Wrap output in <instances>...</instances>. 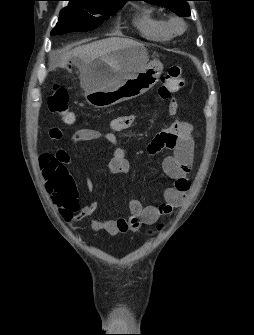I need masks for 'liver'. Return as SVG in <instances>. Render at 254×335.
<instances>
[{"mask_svg": "<svg viewBox=\"0 0 254 335\" xmlns=\"http://www.w3.org/2000/svg\"><path fill=\"white\" fill-rule=\"evenodd\" d=\"M140 43L120 37H111L95 41L86 45L78 46L70 51H65L59 59V67H67L69 61L72 59L76 62L80 70V81L83 87L84 75L88 71L91 63L100 57H108L111 53L125 49L132 46H138ZM127 75L119 74L115 77L114 82H120L125 79Z\"/></svg>", "mask_w": 254, "mask_h": 335, "instance_id": "obj_1", "label": "liver"}]
</instances>
